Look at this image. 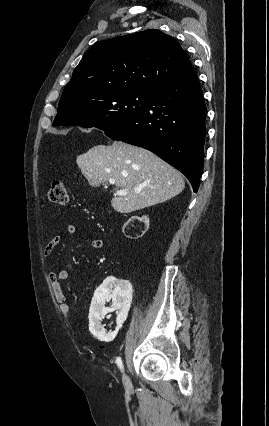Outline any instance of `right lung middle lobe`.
Instances as JSON below:
<instances>
[{"label":"right lung middle lobe","instance_id":"right-lung-middle-lobe-1","mask_svg":"<svg viewBox=\"0 0 269 426\" xmlns=\"http://www.w3.org/2000/svg\"><path fill=\"white\" fill-rule=\"evenodd\" d=\"M149 92H113L83 99L68 96L60 99L53 126L77 125L103 131L122 124L143 110Z\"/></svg>","mask_w":269,"mask_h":426}]
</instances>
